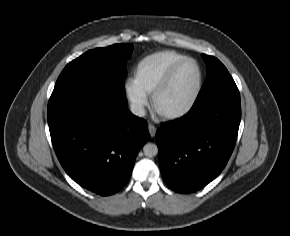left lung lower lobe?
Segmentation results:
<instances>
[{
	"label": "left lung lower lobe",
	"mask_w": 290,
	"mask_h": 236,
	"mask_svg": "<svg viewBox=\"0 0 290 236\" xmlns=\"http://www.w3.org/2000/svg\"><path fill=\"white\" fill-rule=\"evenodd\" d=\"M241 120L237 86L193 105L182 118L156 132L165 183L180 193L195 192L215 179L234 149Z\"/></svg>",
	"instance_id": "left-lung-lower-lobe-1"
}]
</instances>
